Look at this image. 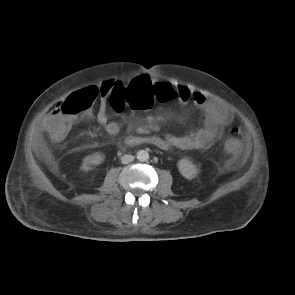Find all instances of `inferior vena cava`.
Segmentation results:
<instances>
[{
    "label": "inferior vena cava",
    "instance_id": "inferior-vena-cava-1",
    "mask_svg": "<svg viewBox=\"0 0 295 295\" xmlns=\"http://www.w3.org/2000/svg\"><path fill=\"white\" fill-rule=\"evenodd\" d=\"M133 160H134V156L129 155V154H126V155L122 156V158H121V162L123 164H128V163L132 162Z\"/></svg>",
    "mask_w": 295,
    "mask_h": 295
}]
</instances>
